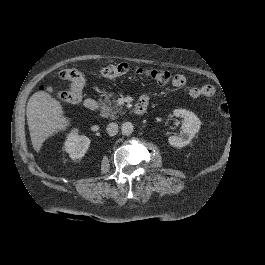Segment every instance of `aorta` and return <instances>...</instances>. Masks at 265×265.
I'll return each instance as SVG.
<instances>
[{"mask_svg":"<svg viewBox=\"0 0 265 265\" xmlns=\"http://www.w3.org/2000/svg\"><path fill=\"white\" fill-rule=\"evenodd\" d=\"M133 130L134 127L130 122H125L122 124L121 131L123 135L129 136L132 134Z\"/></svg>","mask_w":265,"mask_h":265,"instance_id":"1","label":"aorta"}]
</instances>
